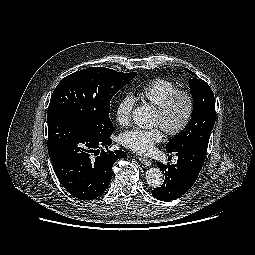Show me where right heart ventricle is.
Returning <instances> with one entry per match:
<instances>
[{"label": "right heart ventricle", "instance_id": "e07e8e85", "mask_svg": "<svg viewBox=\"0 0 255 255\" xmlns=\"http://www.w3.org/2000/svg\"><path fill=\"white\" fill-rule=\"evenodd\" d=\"M177 89V85L168 79L156 78L144 85L137 93L141 101L153 106L160 105L164 99Z\"/></svg>", "mask_w": 255, "mask_h": 255}]
</instances>
